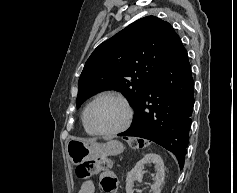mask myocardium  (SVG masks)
Listing matches in <instances>:
<instances>
[{"mask_svg": "<svg viewBox=\"0 0 237 193\" xmlns=\"http://www.w3.org/2000/svg\"><path fill=\"white\" fill-rule=\"evenodd\" d=\"M103 98L115 99L118 102H120L121 105L124 107L125 112H126V118H125L124 123L120 127L113 129V130L102 131V130H98L97 128H95L94 125L92 124V122L90 120L91 109L97 101H99ZM85 118H86L88 127L91 129V131L94 134L101 135V136H114V135H118L120 133L125 132L131 126L133 119H134V110H133L131 104L128 102V100L125 97H123L122 95H120L118 93H114V92H104V93H101L98 96H96L88 104V106L86 108V112H85Z\"/></svg>", "mask_w": 237, "mask_h": 193, "instance_id": "1", "label": "myocardium"}]
</instances>
